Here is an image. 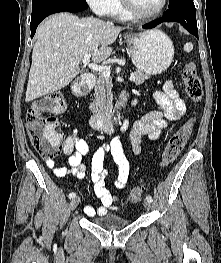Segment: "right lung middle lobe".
I'll list each match as a JSON object with an SVG mask.
<instances>
[{"mask_svg":"<svg viewBox=\"0 0 221 263\" xmlns=\"http://www.w3.org/2000/svg\"><path fill=\"white\" fill-rule=\"evenodd\" d=\"M61 1H71V0H32V11L44 5H48L54 2H61Z\"/></svg>","mask_w":221,"mask_h":263,"instance_id":"dd1d6c3e","label":"right lung middle lobe"}]
</instances>
